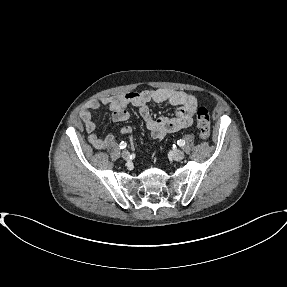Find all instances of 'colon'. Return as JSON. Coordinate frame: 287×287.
<instances>
[{"mask_svg":"<svg viewBox=\"0 0 287 287\" xmlns=\"http://www.w3.org/2000/svg\"><path fill=\"white\" fill-rule=\"evenodd\" d=\"M211 118L205 107H199L197 110V128L202 139H208L210 136Z\"/></svg>","mask_w":287,"mask_h":287,"instance_id":"5ec220e1","label":"colon"}]
</instances>
